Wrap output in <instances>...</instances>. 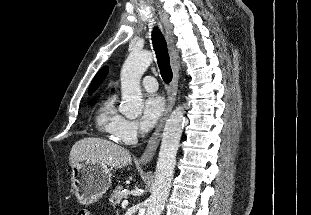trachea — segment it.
Wrapping results in <instances>:
<instances>
[{
	"label": "trachea",
	"instance_id": "3493384b",
	"mask_svg": "<svg viewBox=\"0 0 311 215\" xmlns=\"http://www.w3.org/2000/svg\"><path fill=\"white\" fill-rule=\"evenodd\" d=\"M152 44L157 57L160 74L163 81L168 84L171 82L173 76L170 66V57L165 38L157 26L154 27L152 31Z\"/></svg>",
	"mask_w": 311,
	"mask_h": 215
}]
</instances>
